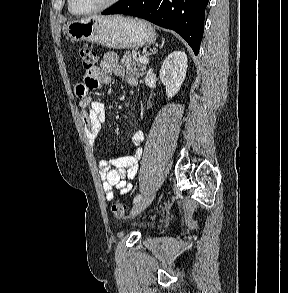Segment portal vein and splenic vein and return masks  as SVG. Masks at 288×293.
<instances>
[{
    "instance_id": "obj_1",
    "label": "portal vein and splenic vein",
    "mask_w": 288,
    "mask_h": 293,
    "mask_svg": "<svg viewBox=\"0 0 288 293\" xmlns=\"http://www.w3.org/2000/svg\"><path fill=\"white\" fill-rule=\"evenodd\" d=\"M139 61L142 64H147L149 62L148 58L145 55L140 56Z\"/></svg>"
}]
</instances>
